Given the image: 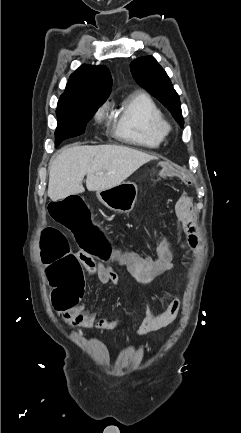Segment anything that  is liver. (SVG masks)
<instances>
[{
  "label": "liver",
  "mask_w": 241,
  "mask_h": 433,
  "mask_svg": "<svg viewBox=\"0 0 241 433\" xmlns=\"http://www.w3.org/2000/svg\"><path fill=\"white\" fill-rule=\"evenodd\" d=\"M155 156L123 146H74L59 151L49 166L48 196L52 200L121 184Z\"/></svg>",
  "instance_id": "obj_1"
}]
</instances>
